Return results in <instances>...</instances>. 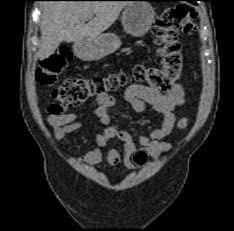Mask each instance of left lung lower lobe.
<instances>
[{"label":"left lung lower lobe","instance_id":"obj_1","mask_svg":"<svg viewBox=\"0 0 234 231\" xmlns=\"http://www.w3.org/2000/svg\"><path fill=\"white\" fill-rule=\"evenodd\" d=\"M148 1H158V0H148ZM184 1H188V2H190L192 4H196V2L199 1V0H184Z\"/></svg>","mask_w":234,"mask_h":231}]
</instances>
